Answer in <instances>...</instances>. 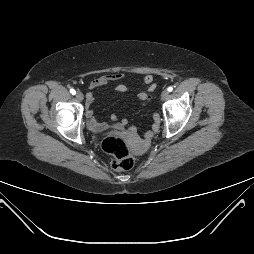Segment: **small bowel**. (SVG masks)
I'll return each mask as SVG.
<instances>
[{"instance_id":"1","label":"small bowel","mask_w":254,"mask_h":254,"mask_svg":"<svg viewBox=\"0 0 254 254\" xmlns=\"http://www.w3.org/2000/svg\"><path fill=\"white\" fill-rule=\"evenodd\" d=\"M125 77V74L122 72L105 74L98 77L93 78L89 82V88L91 90L100 88L104 85H107L112 82H117L122 80ZM143 85L147 88L145 91L140 92L138 94V98L140 100H145L148 96L149 92H152L156 86L154 83V78L151 74H146L142 79ZM115 91L117 92H126L128 91V87L125 84H118L115 87ZM95 102V95L92 92H88L86 95V117H87V126L88 129L93 133H99L109 127L107 123L99 122L95 111L92 107ZM112 121L115 122V127L118 131H121L123 126L126 124V119L119 120L117 115H112ZM159 129V116L157 114L154 115V123L150 131H148L145 135L146 138H149L153 132H156Z\"/></svg>"}]
</instances>
